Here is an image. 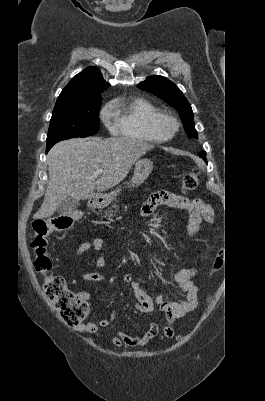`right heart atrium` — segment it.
<instances>
[{
  "mask_svg": "<svg viewBox=\"0 0 265 401\" xmlns=\"http://www.w3.org/2000/svg\"><path fill=\"white\" fill-rule=\"evenodd\" d=\"M101 118L105 123L110 124L112 122L113 115L111 114L110 109H109L108 106H105V107L102 108V110H101Z\"/></svg>",
  "mask_w": 265,
  "mask_h": 401,
  "instance_id": "d8ad5b80",
  "label": "right heart atrium"
}]
</instances>
